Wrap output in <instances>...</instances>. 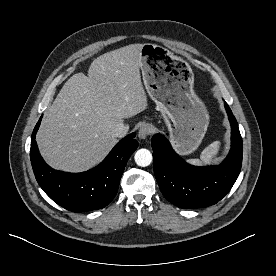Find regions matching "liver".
<instances>
[{
    "instance_id": "6515ba94",
    "label": "liver",
    "mask_w": 276,
    "mask_h": 276,
    "mask_svg": "<svg viewBox=\"0 0 276 276\" xmlns=\"http://www.w3.org/2000/svg\"><path fill=\"white\" fill-rule=\"evenodd\" d=\"M141 47L134 43L106 52L86 74L66 81L37 134L40 153L52 168L78 173L96 166L116 144L114 129L122 119L145 108Z\"/></svg>"
}]
</instances>
